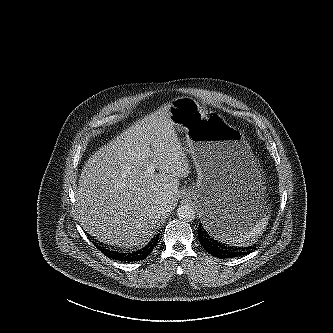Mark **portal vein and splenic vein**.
<instances>
[{
    "mask_svg": "<svg viewBox=\"0 0 333 333\" xmlns=\"http://www.w3.org/2000/svg\"><path fill=\"white\" fill-rule=\"evenodd\" d=\"M151 172H154L155 170L153 168L150 169Z\"/></svg>",
    "mask_w": 333,
    "mask_h": 333,
    "instance_id": "1",
    "label": "portal vein and splenic vein"
}]
</instances>
